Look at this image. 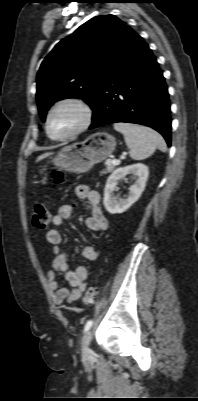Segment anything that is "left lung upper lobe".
Masks as SVG:
<instances>
[{
  "label": "left lung upper lobe",
  "instance_id": "5c2ea615",
  "mask_svg": "<svg viewBox=\"0 0 198 401\" xmlns=\"http://www.w3.org/2000/svg\"><path fill=\"white\" fill-rule=\"evenodd\" d=\"M137 33L114 15L97 16L62 39L37 74L36 99L42 121L49 107L65 98H81L93 109L113 68Z\"/></svg>",
  "mask_w": 198,
  "mask_h": 401
}]
</instances>
